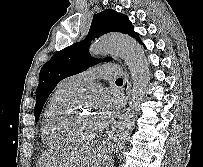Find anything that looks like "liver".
<instances>
[{"instance_id": "1", "label": "liver", "mask_w": 203, "mask_h": 167, "mask_svg": "<svg viewBox=\"0 0 203 167\" xmlns=\"http://www.w3.org/2000/svg\"><path fill=\"white\" fill-rule=\"evenodd\" d=\"M96 150L94 145H88L47 151L42 154L37 167H85L90 164Z\"/></svg>"}]
</instances>
